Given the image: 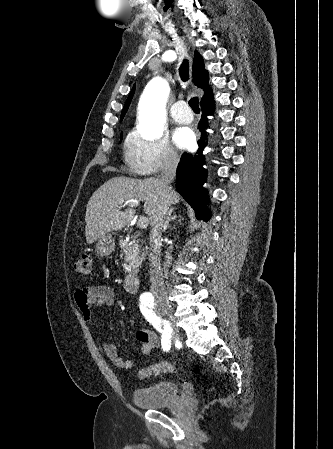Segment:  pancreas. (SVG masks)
Returning <instances> with one entry per match:
<instances>
[{
    "label": "pancreas",
    "instance_id": "pancreas-1",
    "mask_svg": "<svg viewBox=\"0 0 333 449\" xmlns=\"http://www.w3.org/2000/svg\"><path fill=\"white\" fill-rule=\"evenodd\" d=\"M120 247L125 253V262L123 264L125 272H129L133 267L142 262L143 257L140 255V250L135 241L126 242L125 240H121Z\"/></svg>",
    "mask_w": 333,
    "mask_h": 449
}]
</instances>
